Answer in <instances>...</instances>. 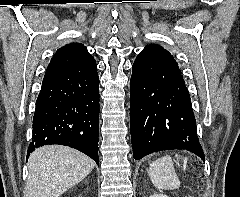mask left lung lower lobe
Here are the masks:
<instances>
[{
	"mask_svg": "<svg viewBox=\"0 0 240 197\" xmlns=\"http://www.w3.org/2000/svg\"><path fill=\"white\" fill-rule=\"evenodd\" d=\"M130 88V129L136 160L157 151L185 149L204 161L181 73L133 66Z\"/></svg>",
	"mask_w": 240,
	"mask_h": 197,
	"instance_id": "obj_1",
	"label": "left lung lower lobe"
}]
</instances>
